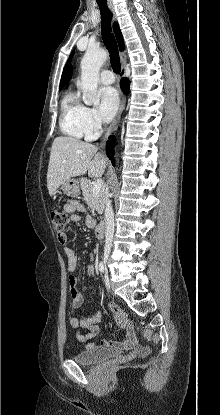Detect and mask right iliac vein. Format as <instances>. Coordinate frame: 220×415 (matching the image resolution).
I'll return each instance as SVG.
<instances>
[{
  "label": "right iliac vein",
  "instance_id": "1",
  "mask_svg": "<svg viewBox=\"0 0 220 415\" xmlns=\"http://www.w3.org/2000/svg\"><path fill=\"white\" fill-rule=\"evenodd\" d=\"M104 264H105V268H106V265H107V262H108V253L106 252L105 254H104ZM106 270H107V268H106Z\"/></svg>",
  "mask_w": 220,
  "mask_h": 415
}]
</instances>
